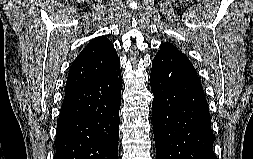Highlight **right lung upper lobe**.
I'll list each match as a JSON object with an SVG mask.
<instances>
[{
	"label": "right lung upper lobe",
	"instance_id": "cb5924a9",
	"mask_svg": "<svg viewBox=\"0 0 253 159\" xmlns=\"http://www.w3.org/2000/svg\"><path fill=\"white\" fill-rule=\"evenodd\" d=\"M118 64L120 63L113 44L104 36L94 38L73 61L65 92L107 73Z\"/></svg>",
	"mask_w": 253,
	"mask_h": 159
}]
</instances>
